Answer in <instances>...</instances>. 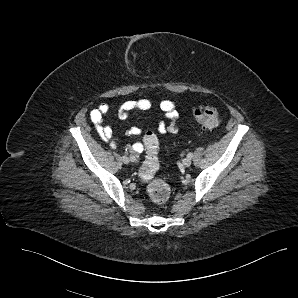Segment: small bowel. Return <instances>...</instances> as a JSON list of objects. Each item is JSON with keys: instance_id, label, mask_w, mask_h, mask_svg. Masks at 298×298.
Returning a JSON list of instances; mask_svg holds the SVG:
<instances>
[{"instance_id": "c3829d8e", "label": "small bowel", "mask_w": 298, "mask_h": 298, "mask_svg": "<svg viewBox=\"0 0 298 298\" xmlns=\"http://www.w3.org/2000/svg\"><path fill=\"white\" fill-rule=\"evenodd\" d=\"M160 109L164 112L165 117L169 120V123L160 121L157 130L160 134H175L178 132L177 121L179 119V113L170 100H162L159 104ZM152 108V102L149 99L128 100L121 104L118 109V116L120 119L125 120L129 118L130 114L134 110L147 111ZM109 106L106 103L99 104L95 109L90 112V119L101 139L107 142L112 148L118 146V141L113 139V130L111 127L104 125V116L108 113ZM129 136H136L141 134V129L137 126L130 127L126 131ZM128 150L132 153L139 154L143 151V145L141 142H135L129 145Z\"/></svg>"}]
</instances>
